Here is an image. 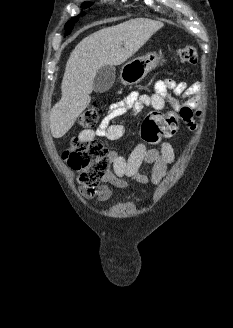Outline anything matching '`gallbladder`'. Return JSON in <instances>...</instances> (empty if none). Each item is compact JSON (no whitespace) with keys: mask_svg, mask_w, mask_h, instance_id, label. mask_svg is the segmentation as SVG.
I'll return each instance as SVG.
<instances>
[{"mask_svg":"<svg viewBox=\"0 0 233 328\" xmlns=\"http://www.w3.org/2000/svg\"><path fill=\"white\" fill-rule=\"evenodd\" d=\"M115 68L114 66L106 65L101 67L94 78L93 90L96 93H103L108 91L115 82Z\"/></svg>","mask_w":233,"mask_h":328,"instance_id":"gallbladder-1","label":"gallbladder"}]
</instances>
